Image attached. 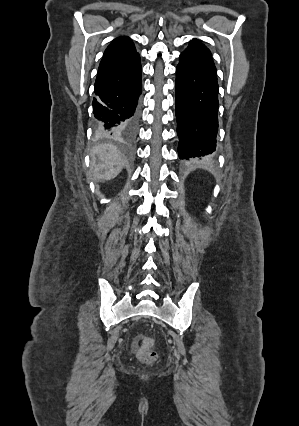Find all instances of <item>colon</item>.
I'll return each mask as SVG.
<instances>
[{
    "label": "colon",
    "mask_w": 299,
    "mask_h": 426,
    "mask_svg": "<svg viewBox=\"0 0 299 426\" xmlns=\"http://www.w3.org/2000/svg\"><path fill=\"white\" fill-rule=\"evenodd\" d=\"M139 339L141 340V346L138 353L140 360L147 364L155 362L158 354L153 348V339L143 336H140Z\"/></svg>",
    "instance_id": "colon-1"
}]
</instances>
